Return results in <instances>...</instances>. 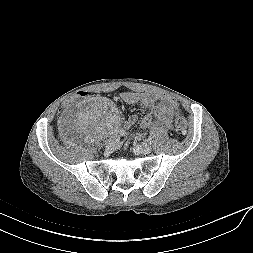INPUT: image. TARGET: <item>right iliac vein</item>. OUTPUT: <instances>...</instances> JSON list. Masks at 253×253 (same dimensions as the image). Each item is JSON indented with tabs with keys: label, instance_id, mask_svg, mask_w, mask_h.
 <instances>
[{
	"label": "right iliac vein",
	"instance_id": "1",
	"mask_svg": "<svg viewBox=\"0 0 253 253\" xmlns=\"http://www.w3.org/2000/svg\"><path fill=\"white\" fill-rule=\"evenodd\" d=\"M116 145H117V142L116 141H109L107 144H106V150L108 152H111L113 151L115 148H116Z\"/></svg>",
	"mask_w": 253,
	"mask_h": 253
}]
</instances>
